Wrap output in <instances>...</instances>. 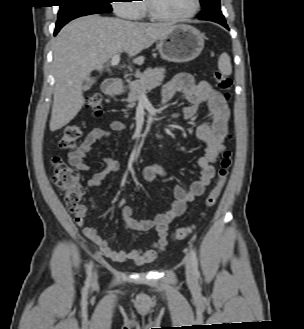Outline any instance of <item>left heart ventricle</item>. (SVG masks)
I'll return each instance as SVG.
<instances>
[{"mask_svg": "<svg viewBox=\"0 0 304 329\" xmlns=\"http://www.w3.org/2000/svg\"><path fill=\"white\" fill-rule=\"evenodd\" d=\"M157 10L169 16L188 13L194 6V0H154Z\"/></svg>", "mask_w": 304, "mask_h": 329, "instance_id": "obj_1", "label": "left heart ventricle"}]
</instances>
